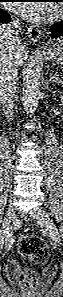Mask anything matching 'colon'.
<instances>
[{"label": "colon", "mask_w": 63, "mask_h": 297, "mask_svg": "<svg viewBox=\"0 0 63 297\" xmlns=\"http://www.w3.org/2000/svg\"><path fill=\"white\" fill-rule=\"evenodd\" d=\"M19 252L30 262L41 265L47 261L48 249L42 239L34 235H24L19 239ZM24 284L27 287H33L35 280L32 276L24 278Z\"/></svg>", "instance_id": "5ec220e1"}]
</instances>
